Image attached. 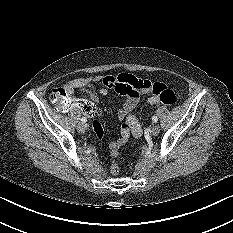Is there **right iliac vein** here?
<instances>
[{
    "label": "right iliac vein",
    "mask_w": 233,
    "mask_h": 233,
    "mask_svg": "<svg viewBox=\"0 0 233 233\" xmlns=\"http://www.w3.org/2000/svg\"><path fill=\"white\" fill-rule=\"evenodd\" d=\"M86 124L84 123H79L78 126H77V129L79 132H84L86 130Z\"/></svg>",
    "instance_id": "right-iliac-vein-1"
}]
</instances>
